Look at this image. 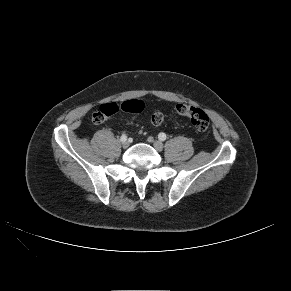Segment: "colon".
<instances>
[{
  "label": "colon",
  "mask_w": 291,
  "mask_h": 291,
  "mask_svg": "<svg viewBox=\"0 0 291 291\" xmlns=\"http://www.w3.org/2000/svg\"><path fill=\"white\" fill-rule=\"evenodd\" d=\"M143 109L144 103L138 99L127 100L121 104L106 103L100 106L92 118L95 123H102L119 111L140 113ZM175 109L179 115L187 117L196 130L206 131L208 129L210 120L202 109L187 104H178ZM163 121L164 115L162 112L156 111L152 114L151 122L153 125H161Z\"/></svg>",
  "instance_id": "5ec220e1"
}]
</instances>
